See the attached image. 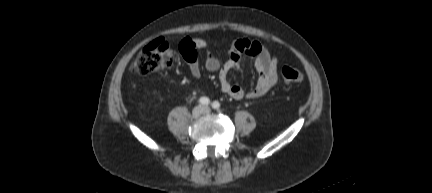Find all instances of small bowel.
Returning a JSON list of instances; mask_svg holds the SVG:
<instances>
[{
  "mask_svg": "<svg viewBox=\"0 0 432 193\" xmlns=\"http://www.w3.org/2000/svg\"><path fill=\"white\" fill-rule=\"evenodd\" d=\"M209 43L202 38H184L179 43V50L185 59L190 74L194 79L201 77V68L198 61V50L207 49ZM229 59L222 62L218 58L207 55L205 67L208 71L217 72L220 88L223 93L234 99H258L263 97L278 81V62L270 50L259 43L248 39L236 40L230 48ZM248 57L253 61L258 72L256 85L246 91L239 85L231 84L229 73L240 67L242 59Z\"/></svg>",
  "mask_w": 432,
  "mask_h": 193,
  "instance_id": "obj_1",
  "label": "small bowel"
}]
</instances>
